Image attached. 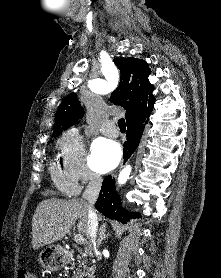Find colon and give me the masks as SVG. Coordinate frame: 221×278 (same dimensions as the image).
Returning a JSON list of instances; mask_svg holds the SVG:
<instances>
[{
  "instance_id": "1",
  "label": "colon",
  "mask_w": 221,
  "mask_h": 278,
  "mask_svg": "<svg viewBox=\"0 0 221 278\" xmlns=\"http://www.w3.org/2000/svg\"><path fill=\"white\" fill-rule=\"evenodd\" d=\"M18 278H37L36 275L27 270H21L18 273Z\"/></svg>"
}]
</instances>
